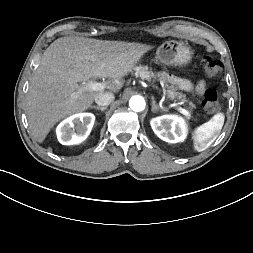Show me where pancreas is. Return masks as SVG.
Wrapping results in <instances>:
<instances>
[{
	"label": "pancreas",
	"mask_w": 253,
	"mask_h": 253,
	"mask_svg": "<svg viewBox=\"0 0 253 253\" xmlns=\"http://www.w3.org/2000/svg\"><path fill=\"white\" fill-rule=\"evenodd\" d=\"M134 74L136 77H140L141 79H145L151 81L152 79H158L160 82L164 84L163 91L167 94V97L171 100L187 102L186 96L177 91V88L173 85L176 77L170 76L167 72H153L151 68L147 66H137L134 67ZM172 83V85H169ZM191 107H194L192 102H189Z\"/></svg>",
	"instance_id": "obj_1"
}]
</instances>
